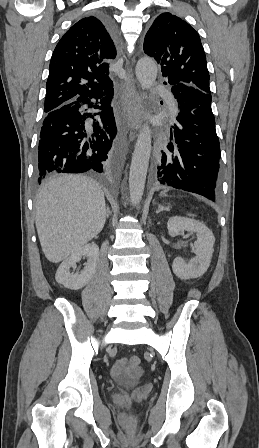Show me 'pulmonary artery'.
Listing matches in <instances>:
<instances>
[{
  "label": "pulmonary artery",
  "instance_id": "1",
  "mask_svg": "<svg viewBox=\"0 0 259 448\" xmlns=\"http://www.w3.org/2000/svg\"><path fill=\"white\" fill-rule=\"evenodd\" d=\"M164 99H165V101H166V103L168 105L169 110L176 112L177 111V106H176V101L173 98V96L172 95H166V96H164Z\"/></svg>",
  "mask_w": 259,
  "mask_h": 448
}]
</instances>
